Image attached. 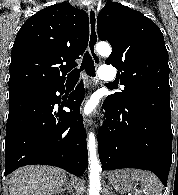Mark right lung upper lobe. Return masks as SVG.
Listing matches in <instances>:
<instances>
[{"label":"right lung upper lobe","mask_w":178,"mask_h":195,"mask_svg":"<svg viewBox=\"0 0 178 195\" xmlns=\"http://www.w3.org/2000/svg\"><path fill=\"white\" fill-rule=\"evenodd\" d=\"M89 39L85 11L67 2L46 7L18 31L10 63V95L63 85Z\"/></svg>","instance_id":"1"}]
</instances>
